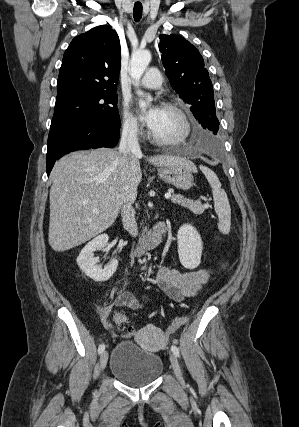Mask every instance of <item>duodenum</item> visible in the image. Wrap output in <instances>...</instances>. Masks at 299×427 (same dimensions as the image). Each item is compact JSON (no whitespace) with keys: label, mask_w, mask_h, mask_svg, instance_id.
<instances>
[{"label":"duodenum","mask_w":299,"mask_h":427,"mask_svg":"<svg viewBox=\"0 0 299 427\" xmlns=\"http://www.w3.org/2000/svg\"><path fill=\"white\" fill-rule=\"evenodd\" d=\"M171 221H160L155 223L148 234L138 240L135 244V252L138 256L153 250L162 240L163 235L170 228Z\"/></svg>","instance_id":"1"}]
</instances>
